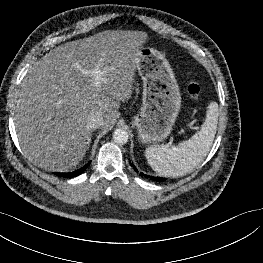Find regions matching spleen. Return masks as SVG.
<instances>
[{
    "label": "spleen",
    "instance_id": "obj_1",
    "mask_svg": "<svg viewBox=\"0 0 263 263\" xmlns=\"http://www.w3.org/2000/svg\"><path fill=\"white\" fill-rule=\"evenodd\" d=\"M217 123L218 104L211 102L200 131L175 147L146 148L145 157L148 164L156 173L167 177H180L192 172L209 153L216 134Z\"/></svg>",
    "mask_w": 263,
    "mask_h": 263
}]
</instances>
